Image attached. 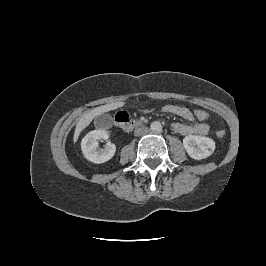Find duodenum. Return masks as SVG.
<instances>
[{
	"mask_svg": "<svg viewBox=\"0 0 266 266\" xmlns=\"http://www.w3.org/2000/svg\"><path fill=\"white\" fill-rule=\"evenodd\" d=\"M115 124L118 128H120L123 131L129 132L133 130L135 127H138L141 125V123L131 120L130 117L127 115H121L115 117Z\"/></svg>",
	"mask_w": 266,
	"mask_h": 266,
	"instance_id": "1",
	"label": "duodenum"
}]
</instances>
